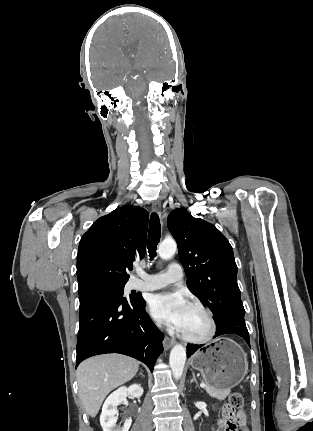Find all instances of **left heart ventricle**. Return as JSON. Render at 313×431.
Segmentation results:
<instances>
[{"label":"left heart ventricle","mask_w":313,"mask_h":431,"mask_svg":"<svg viewBox=\"0 0 313 431\" xmlns=\"http://www.w3.org/2000/svg\"><path fill=\"white\" fill-rule=\"evenodd\" d=\"M209 329L210 325L206 315L202 311L189 306L181 332L189 337L200 338L206 336Z\"/></svg>","instance_id":"b2bd125f"}]
</instances>
